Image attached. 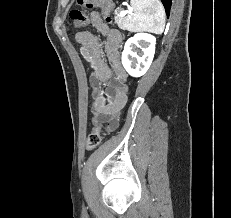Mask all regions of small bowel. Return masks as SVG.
<instances>
[{
    "label": "small bowel",
    "instance_id": "obj_1",
    "mask_svg": "<svg viewBox=\"0 0 231 218\" xmlns=\"http://www.w3.org/2000/svg\"><path fill=\"white\" fill-rule=\"evenodd\" d=\"M90 20L106 37L105 42L88 30L78 32L75 38L91 73L89 81L92 87L93 120L107 117L108 131H113L118 127L119 116L129 94L128 76L120 62L121 35L117 31L109 30L97 12L91 13Z\"/></svg>",
    "mask_w": 231,
    "mask_h": 218
}]
</instances>
